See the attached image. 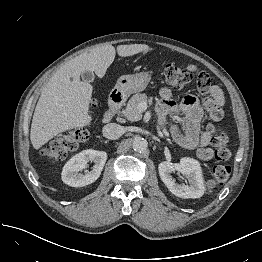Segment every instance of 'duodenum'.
Segmentation results:
<instances>
[{
  "label": "duodenum",
  "instance_id": "1",
  "mask_svg": "<svg viewBox=\"0 0 262 262\" xmlns=\"http://www.w3.org/2000/svg\"><path fill=\"white\" fill-rule=\"evenodd\" d=\"M124 94L121 91H114L111 93L108 103V109L105 112L103 119L105 121L111 120L113 115L118 112L124 104Z\"/></svg>",
  "mask_w": 262,
  "mask_h": 262
}]
</instances>
